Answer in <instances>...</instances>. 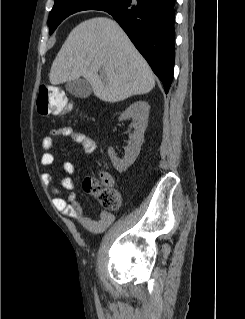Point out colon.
Here are the masks:
<instances>
[{"mask_svg":"<svg viewBox=\"0 0 245 319\" xmlns=\"http://www.w3.org/2000/svg\"><path fill=\"white\" fill-rule=\"evenodd\" d=\"M69 108L65 94L54 85H42L37 96V111L41 115L62 113ZM83 187L88 193L98 197V200L106 210H116L120 205L119 194L110 187H103L94 178H87L83 182Z\"/></svg>","mask_w":245,"mask_h":319,"instance_id":"colon-1","label":"colon"}]
</instances>
